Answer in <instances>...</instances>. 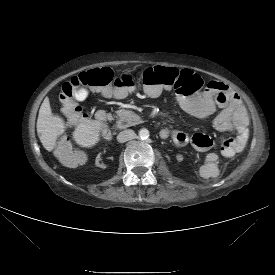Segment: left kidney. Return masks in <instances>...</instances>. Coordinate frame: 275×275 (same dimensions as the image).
Segmentation results:
<instances>
[{"label":"left kidney","mask_w":275,"mask_h":275,"mask_svg":"<svg viewBox=\"0 0 275 275\" xmlns=\"http://www.w3.org/2000/svg\"><path fill=\"white\" fill-rule=\"evenodd\" d=\"M176 158H177L178 162L183 161V156L181 154L176 155Z\"/></svg>","instance_id":"1"}]
</instances>
